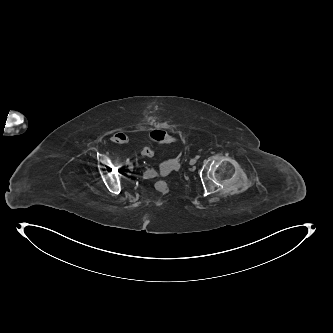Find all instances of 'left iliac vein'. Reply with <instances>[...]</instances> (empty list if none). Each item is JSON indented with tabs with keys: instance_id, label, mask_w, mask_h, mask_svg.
I'll list each match as a JSON object with an SVG mask.
<instances>
[{
	"instance_id": "left-iliac-vein-1",
	"label": "left iliac vein",
	"mask_w": 333,
	"mask_h": 333,
	"mask_svg": "<svg viewBox=\"0 0 333 333\" xmlns=\"http://www.w3.org/2000/svg\"><path fill=\"white\" fill-rule=\"evenodd\" d=\"M196 162H197V159L193 158V159L190 160L189 164L194 165Z\"/></svg>"
}]
</instances>
